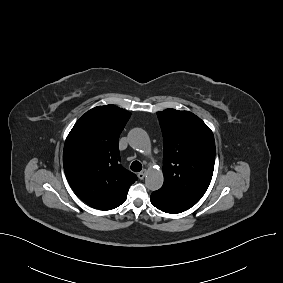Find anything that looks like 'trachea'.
<instances>
[{"mask_svg": "<svg viewBox=\"0 0 283 283\" xmlns=\"http://www.w3.org/2000/svg\"><path fill=\"white\" fill-rule=\"evenodd\" d=\"M131 170L134 172H139L142 170V164L139 161H134L131 166Z\"/></svg>", "mask_w": 283, "mask_h": 283, "instance_id": "obj_1", "label": "trachea"}]
</instances>
